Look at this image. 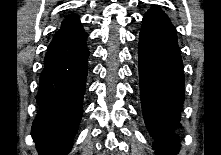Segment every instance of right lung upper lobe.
Segmentation results:
<instances>
[{"label": "right lung upper lobe", "instance_id": "right-lung-upper-lobe-1", "mask_svg": "<svg viewBox=\"0 0 221 155\" xmlns=\"http://www.w3.org/2000/svg\"><path fill=\"white\" fill-rule=\"evenodd\" d=\"M77 23H79V17L76 15H70L64 19L62 27L71 26Z\"/></svg>", "mask_w": 221, "mask_h": 155}]
</instances>
